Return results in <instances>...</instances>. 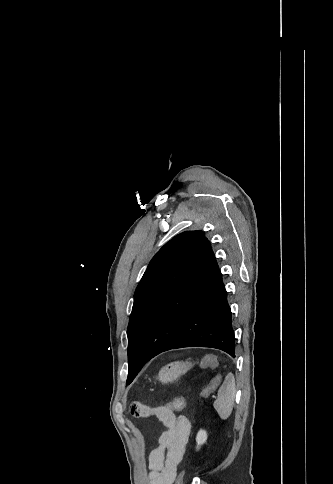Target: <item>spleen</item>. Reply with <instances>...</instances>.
<instances>
[{
    "instance_id": "1",
    "label": "spleen",
    "mask_w": 333,
    "mask_h": 484,
    "mask_svg": "<svg viewBox=\"0 0 333 484\" xmlns=\"http://www.w3.org/2000/svg\"><path fill=\"white\" fill-rule=\"evenodd\" d=\"M236 393L235 378L232 373H229L218 390V397L213 403V407L223 420L227 419L233 409L234 398Z\"/></svg>"
}]
</instances>
